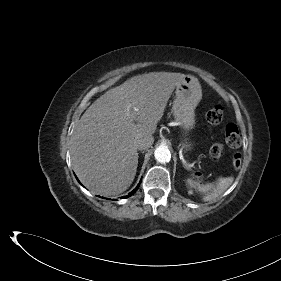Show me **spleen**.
<instances>
[{
    "label": "spleen",
    "instance_id": "obj_1",
    "mask_svg": "<svg viewBox=\"0 0 281 281\" xmlns=\"http://www.w3.org/2000/svg\"><path fill=\"white\" fill-rule=\"evenodd\" d=\"M233 177H226V178H219L216 185L214 184H207L201 185L197 182H194L191 179L187 180V184L190 188H197L200 192L205 193L203 200L204 201H213L218 196L223 194L233 183Z\"/></svg>",
    "mask_w": 281,
    "mask_h": 281
}]
</instances>
